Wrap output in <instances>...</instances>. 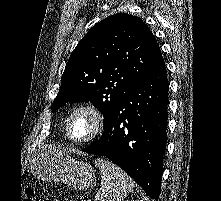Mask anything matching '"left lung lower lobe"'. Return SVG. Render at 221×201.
Masks as SVG:
<instances>
[{
	"label": "left lung lower lobe",
	"mask_w": 221,
	"mask_h": 201,
	"mask_svg": "<svg viewBox=\"0 0 221 201\" xmlns=\"http://www.w3.org/2000/svg\"><path fill=\"white\" fill-rule=\"evenodd\" d=\"M167 105L163 61L121 100L101 138L82 151L107 157L157 201L167 141Z\"/></svg>",
	"instance_id": "1"
}]
</instances>
